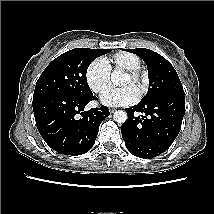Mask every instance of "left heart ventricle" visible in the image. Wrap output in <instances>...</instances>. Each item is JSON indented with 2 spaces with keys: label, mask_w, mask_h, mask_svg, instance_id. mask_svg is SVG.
<instances>
[{
  "label": "left heart ventricle",
  "mask_w": 214,
  "mask_h": 214,
  "mask_svg": "<svg viewBox=\"0 0 214 214\" xmlns=\"http://www.w3.org/2000/svg\"><path fill=\"white\" fill-rule=\"evenodd\" d=\"M120 85L121 86H133L136 88V86L132 83L131 79L126 74L121 79Z\"/></svg>",
  "instance_id": "left-heart-ventricle-1"
}]
</instances>
